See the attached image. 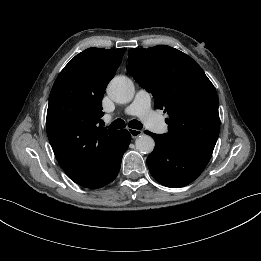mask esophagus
<instances>
[{
    "label": "esophagus",
    "mask_w": 261,
    "mask_h": 261,
    "mask_svg": "<svg viewBox=\"0 0 261 261\" xmlns=\"http://www.w3.org/2000/svg\"><path fill=\"white\" fill-rule=\"evenodd\" d=\"M129 133L132 138H137L143 134V131L139 129H129Z\"/></svg>",
    "instance_id": "obj_1"
}]
</instances>
